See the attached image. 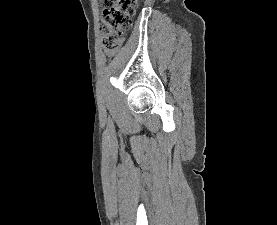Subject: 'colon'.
Instances as JSON below:
<instances>
[{
  "mask_svg": "<svg viewBox=\"0 0 277 225\" xmlns=\"http://www.w3.org/2000/svg\"><path fill=\"white\" fill-rule=\"evenodd\" d=\"M103 12L99 21L101 47L106 52L116 51L122 34L131 25L137 0H101Z\"/></svg>",
  "mask_w": 277,
  "mask_h": 225,
  "instance_id": "5ec220e1",
  "label": "colon"
}]
</instances>
